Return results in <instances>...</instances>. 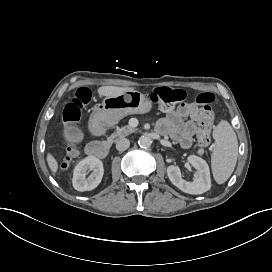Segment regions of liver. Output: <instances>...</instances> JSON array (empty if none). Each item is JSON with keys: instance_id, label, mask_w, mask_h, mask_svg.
Here are the masks:
<instances>
[{"instance_id": "6515ba94", "label": "liver", "mask_w": 272, "mask_h": 272, "mask_svg": "<svg viewBox=\"0 0 272 272\" xmlns=\"http://www.w3.org/2000/svg\"><path fill=\"white\" fill-rule=\"evenodd\" d=\"M125 90L127 89L120 88V87L106 86V87H101L99 89V93L101 96H115V95L123 93ZM48 163L52 171H56L57 164H56V161L51 156L48 157Z\"/></svg>"}]
</instances>
